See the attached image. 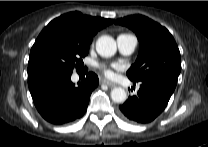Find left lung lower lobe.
<instances>
[{"mask_svg":"<svg viewBox=\"0 0 208 147\" xmlns=\"http://www.w3.org/2000/svg\"><path fill=\"white\" fill-rule=\"evenodd\" d=\"M176 85L160 78L140 81L137 95L129 97L119 107L120 116L133 123L153 121L167 106Z\"/></svg>","mask_w":208,"mask_h":147,"instance_id":"1","label":"left lung lower lobe"}]
</instances>
